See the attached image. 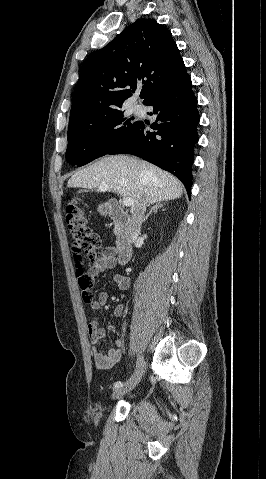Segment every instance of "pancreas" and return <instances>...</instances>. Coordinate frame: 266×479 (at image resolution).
<instances>
[{
    "label": "pancreas",
    "instance_id": "pancreas-1",
    "mask_svg": "<svg viewBox=\"0 0 266 479\" xmlns=\"http://www.w3.org/2000/svg\"><path fill=\"white\" fill-rule=\"evenodd\" d=\"M117 238H119V234H117Z\"/></svg>",
    "mask_w": 266,
    "mask_h": 479
}]
</instances>
